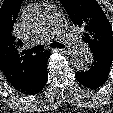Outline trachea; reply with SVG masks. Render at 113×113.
<instances>
[{"mask_svg": "<svg viewBox=\"0 0 113 113\" xmlns=\"http://www.w3.org/2000/svg\"><path fill=\"white\" fill-rule=\"evenodd\" d=\"M50 47H53V48H63L64 45L59 43V42H52L50 44ZM44 50V47L42 45H37L35 47H33L32 49H29V50H26L27 53H39V52H42Z\"/></svg>", "mask_w": 113, "mask_h": 113, "instance_id": "trachea-1", "label": "trachea"}]
</instances>
